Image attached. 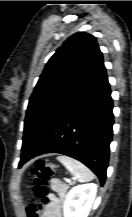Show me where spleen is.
I'll list each match as a JSON object with an SVG mask.
<instances>
[{
    "mask_svg": "<svg viewBox=\"0 0 132 217\" xmlns=\"http://www.w3.org/2000/svg\"><path fill=\"white\" fill-rule=\"evenodd\" d=\"M57 160L61 162L79 182H89L94 179L93 172L80 161L65 155L58 156Z\"/></svg>",
    "mask_w": 132,
    "mask_h": 217,
    "instance_id": "1",
    "label": "spleen"
}]
</instances>
